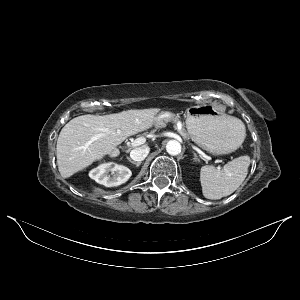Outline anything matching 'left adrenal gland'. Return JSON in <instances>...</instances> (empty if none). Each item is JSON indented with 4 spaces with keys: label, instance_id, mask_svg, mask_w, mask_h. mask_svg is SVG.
Segmentation results:
<instances>
[{
    "label": "left adrenal gland",
    "instance_id": "left-adrenal-gland-1",
    "mask_svg": "<svg viewBox=\"0 0 300 300\" xmlns=\"http://www.w3.org/2000/svg\"><path fill=\"white\" fill-rule=\"evenodd\" d=\"M193 160L199 161V158L197 157L196 153H194V158H193Z\"/></svg>",
    "mask_w": 300,
    "mask_h": 300
}]
</instances>
